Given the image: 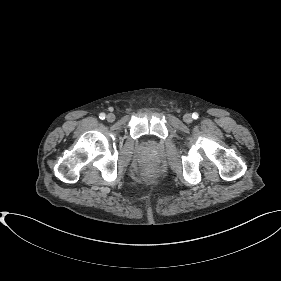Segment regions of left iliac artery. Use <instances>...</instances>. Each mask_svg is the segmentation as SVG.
<instances>
[{"label": "left iliac artery", "instance_id": "obj_1", "mask_svg": "<svg viewBox=\"0 0 281 281\" xmlns=\"http://www.w3.org/2000/svg\"><path fill=\"white\" fill-rule=\"evenodd\" d=\"M198 116H199V115H198V113H196V112L192 114V117H193L194 119H197Z\"/></svg>", "mask_w": 281, "mask_h": 281}]
</instances>
